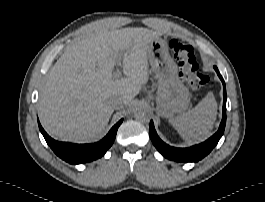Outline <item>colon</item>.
<instances>
[{"instance_id": "5ec220e1", "label": "colon", "mask_w": 265, "mask_h": 202, "mask_svg": "<svg viewBox=\"0 0 265 202\" xmlns=\"http://www.w3.org/2000/svg\"><path fill=\"white\" fill-rule=\"evenodd\" d=\"M170 49L180 67L183 80L191 88L202 87L208 81V75L202 70L193 47L172 39Z\"/></svg>"}]
</instances>
